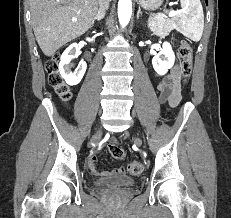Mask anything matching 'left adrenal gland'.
<instances>
[{
    "instance_id": "1",
    "label": "left adrenal gland",
    "mask_w": 231,
    "mask_h": 218,
    "mask_svg": "<svg viewBox=\"0 0 231 218\" xmlns=\"http://www.w3.org/2000/svg\"><path fill=\"white\" fill-rule=\"evenodd\" d=\"M140 15H142L141 8L139 7L138 12H137V19H139Z\"/></svg>"
}]
</instances>
